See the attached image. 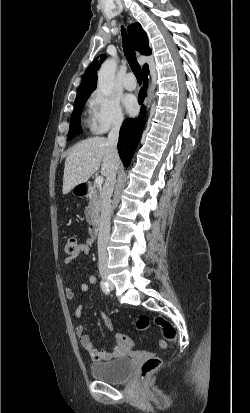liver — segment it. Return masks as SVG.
<instances>
[{
	"label": "liver",
	"instance_id": "obj_1",
	"mask_svg": "<svg viewBox=\"0 0 250 413\" xmlns=\"http://www.w3.org/2000/svg\"><path fill=\"white\" fill-rule=\"evenodd\" d=\"M101 166V175L108 177L113 168H119L120 159L113 158L107 139L91 137L76 144L65 161L63 194L85 183Z\"/></svg>",
	"mask_w": 250,
	"mask_h": 413
}]
</instances>
